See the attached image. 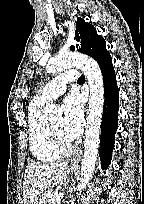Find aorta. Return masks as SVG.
<instances>
[{
    "label": "aorta",
    "mask_w": 144,
    "mask_h": 204,
    "mask_svg": "<svg viewBox=\"0 0 144 204\" xmlns=\"http://www.w3.org/2000/svg\"><path fill=\"white\" fill-rule=\"evenodd\" d=\"M72 66H76L84 72L90 90L89 112L84 141V156L82 159L81 178L78 186L79 190H82L87 186L93 176L98 155L100 127L104 105V83L98 63L94 59L81 54H58L49 60L47 71L49 73H56ZM44 113L49 119H55L62 116V110L54 104L47 105Z\"/></svg>",
    "instance_id": "aorta-1"
}]
</instances>
